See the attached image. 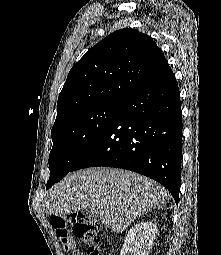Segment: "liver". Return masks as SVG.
Instances as JSON below:
<instances>
[{
	"instance_id": "liver-1",
	"label": "liver",
	"mask_w": 221,
	"mask_h": 255,
	"mask_svg": "<svg viewBox=\"0 0 221 255\" xmlns=\"http://www.w3.org/2000/svg\"><path fill=\"white\" fill-rule=\"evenodd\" d=\"M167 199V190L150 178L98 167L69 173L47 192L43 207L48 215L93 210L102 224L122 233L138 217Z\"/></svg>"
}]
</instances>
